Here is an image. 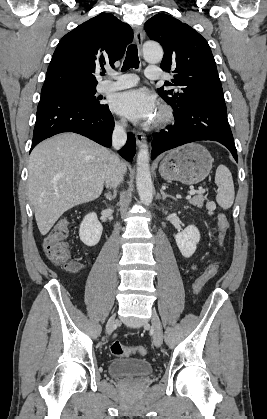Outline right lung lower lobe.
I'll use <instances>...</instances> for the list:
<instances>
[{"mask_svg":"<svg viewBox=\"0 0 267 419\" xmlns=\"http://www.w3.org/2000/svg\"><path fill=\"white\" fill-rule=\"evenodd\" d=\"M114 119L107 105L97 108L56 92H42L31 150L42 140L62 132L81 134L105 146H111ZM135 136L128 133L120 155L130 161L135 155Z\"/></svg>","mask_w":267,"mask_h":419,"instance_id":"1","label":"right lung lower lobe"}]
</instances>
